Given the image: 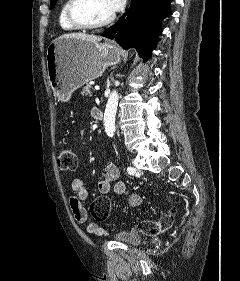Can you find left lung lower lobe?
<instances>
[{
  "mask_svg": "<svg viewBox=\"0 0 240 281\" xmlns=\"http://www.w3.org/2000/svg\"><path fill=\"white\" fill-rule=\"evenodd\" d=\"M172 0H133L123 18L101 35L115 39L124 49L136 48L148 60L155 48L161 21L171 15Z\"/></svg>",
  "mask_w": 240,
  "mask_h": 281,
  "instance_id": "obj_1",
  "label": "left lung lower lobe"
}]
</instances>
